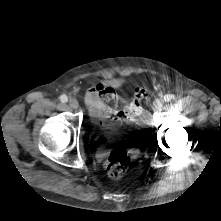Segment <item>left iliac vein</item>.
<instances>
[{
	"label": "left iliac vein",
	"instance_id": "obj_1",
	"mask_svg": "<svg viewBox=\"0 0 221 221\" xmlns=\"http://www.w3.org/2000/svg\"><path fill=\"white\" fill-rule=\"evenodd\" d=\"M162 107H163V102L161 100H156L152 106L154 111H160Z\"/></svg>",
	"mask_w": 221,
	"mask_h": 221
}]
</instances>
